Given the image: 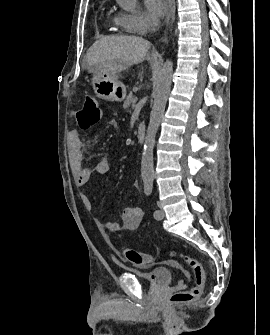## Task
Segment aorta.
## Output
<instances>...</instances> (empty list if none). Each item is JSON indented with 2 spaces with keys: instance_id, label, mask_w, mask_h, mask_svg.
<instances>
[{
  "instance_id": "1",
  "label": "aorta",
  "mask_w": 270,
  "mask_h": 335,
  "mask_svg": "<svg viewBox=\"0 0 270 335\" xmlns=\"http://www.w3.org/2000/svg\"><path fill=\"white\" fill-rule=\"evenodd\" d=\"M173 64L172 62H165L163 68L158 72L155 78V90L152 94L154 98L153 108L150 114V120L147 128V134L144 140V148L141 160V175L143 181H153V150L155 146V136L165 112V106L170 92L172 82Z\"/></svg>"
}]
</instances>
